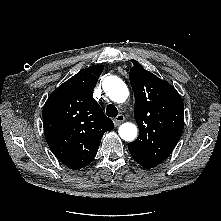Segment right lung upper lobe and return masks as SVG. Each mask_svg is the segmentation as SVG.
Instances as JSON below:
<instances>
[{
	"mask_svg": "<svg viewBox=\"0 0 221 221\" xmlns=\"http://www.w3.org/2000/svg\"><path fill=\"white\" fill-rule=\"evenodd\" d=\"M103 65L81 70L48 97L43 108L46 141L53 154L78 170L96 156L105 132L114 128L92 97Z\"/></svg>",
	"mask_w": 221,
	"mask_h": 221,
	"instance_id": "right-lung-upper-lobe-1",
	"label": "right lung upper lobe"
}]
</instances>
